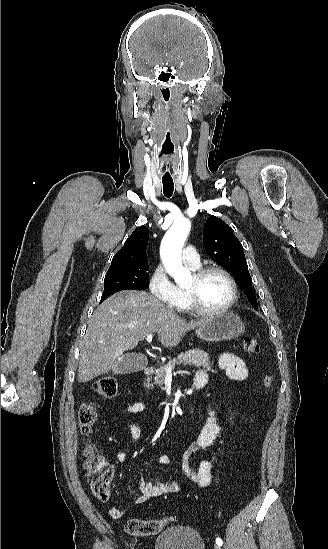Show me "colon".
<instances>
[{
	"instance_id": "colon-1",
	"label": "colon",
	"mask_w": 328,
	"mask_h": 549,
	"mask_svg": "<svg viewBox=\"0 0 328 549\" xmlns=\"http://www.w3.org/2000/svg\"><path fill=\"white\" fill-rule=\"evenodd\" d=\"M243 348L247 353L258 354L260 345L253 337H245L243 339ZM273 383L271 375H265L263 385L269 388ZM93 390L105 398H111L118 391V382L114 377L105 376L100 378L93 386ZM97 421V410L92 403L86 402L80 405L78 409V424L81 432L88 436ZM86 457L85 467L90 479V486L93 495L99 501H106L110 496V481L112 477V469L105 464L96 461L95 448L92 444H87L84 449ZM173 517L140 520L129 519L125 523V531L131 535L148 536L159 533Z\"/></svg>"
}]
</instances>
